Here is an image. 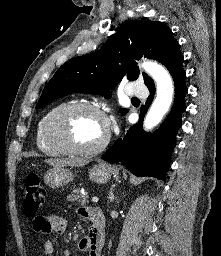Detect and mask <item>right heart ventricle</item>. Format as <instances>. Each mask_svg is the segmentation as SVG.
I'll return each mask as SVG.
<instances>
[{
  "mask_svg": "<svg viewBox=\"0 0 221 256\" xmlns=\"http://www.w3.org/2000/svg\"><path fill=\"white\" fill-rule=\"evenodd\" d=\"M61 103L58 105H55L51 107L39 120L37 127H36V133H35V142L37 148L44 154L50 155V156H57V155H62L65 154V152L58 146H55L48 142V140L45 137V127H46V122L50 114L57 109L59 106H61Z\"/></svg>",
  "mask_w": 221,
  "mask_h": 256,
  "instance_id": "1",
  "label": "right heart ventricle"
}]
</instances>
